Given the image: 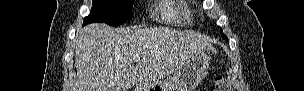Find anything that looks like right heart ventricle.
<instances>
[{
	"mask_svg": "<svg viewBox=\"0 0 304 91\" xmlns=\"http://www.w3.org/2000/svg\"><path fill=\"white\" fill-rule=\"evenodd\" d=\"M159 11L162 20L178 25L189 22L193 14L191 7L181 1H164Z\"/></svg>",
	"mask_w": 304,
	"mask_h": 91,
	"instance_id": "obj_1",
	"label": "right heart ventricle"
}]
</instances>
